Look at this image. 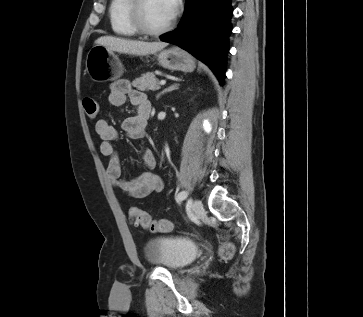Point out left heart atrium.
<instances>
[{
	"mask_svg": "<svg viewBox=\"0 0 363 317\" xmlns=\"http://www.w3.org/2000/svg\"><path fill=\"white\" fill-rule=\"evenodd\" d=\"M169 6L171 17L175 14L179 0H166Z\"/></svg>",
	"mask_w": 363,
	"mask_h": 317,
	"instance_id": "obj_1",
	"label": "left heart atrium"
}]
</instances>
